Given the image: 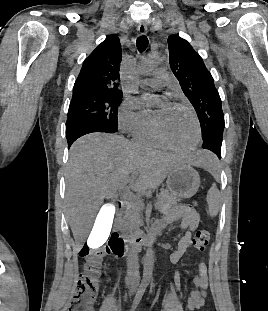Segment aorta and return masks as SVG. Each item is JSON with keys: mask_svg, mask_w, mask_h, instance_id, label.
<instances>
[{"mask_svg": "<svg viewBox=\"0 0 268 311\" xmlns=\"http://www.w3.org/2000/svg\"><path fill=\"white\" fill-rule=\"evenodd\" d=\"M160 65V58L157 56H149L143 59L138 65V71L144 74L153 72ZM154 267V251L148 247L144 258V274L150 276Z\"/></svg>", "mask_w": 268, "mask_h": 311, "instance_id": "aorta-1", "label": "aorta"}]
</instances>
